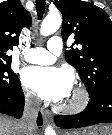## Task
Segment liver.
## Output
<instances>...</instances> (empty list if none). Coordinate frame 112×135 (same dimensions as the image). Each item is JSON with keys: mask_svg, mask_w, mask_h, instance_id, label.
Instances as JSON below:
<instances>
[{"mask_svg": "<svg viewBox=\"0 0 112 135\" xmlns=\"http://www.w3.org/2000/svg\"><path fill=\"white\" fill-rule=\"evenodd\" d=\"M0 135H22L19 122L0 114Z\"/></svg>", "mask_w": 112, "mask_h": 135, "instance_id": "1", "label": "liver"}]
</instances>
